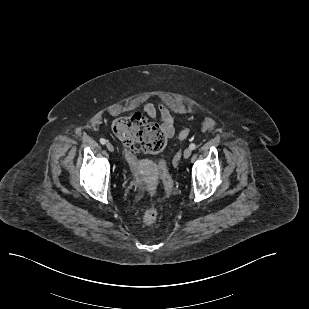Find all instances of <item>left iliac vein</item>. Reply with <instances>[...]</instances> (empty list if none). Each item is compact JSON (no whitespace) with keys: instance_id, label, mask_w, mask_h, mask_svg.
<instances>
[{"instance_id":"left-iliac-vein-1","label":"left iliac vein","mask_w":309,"mask_h":309,"mask_svg":"<svg viewBox=\"0 0 309 309\" xmlns=\"http://www.w3.org/2000/svg\"><path fill=\"white\" fill-rule=\"evenodd\" d=\"M191 153H192V151H191L190 148L185 149L184 153H183L184 158H186V159L189 158L191 156Z\"/></svg>"}]
</instances>
